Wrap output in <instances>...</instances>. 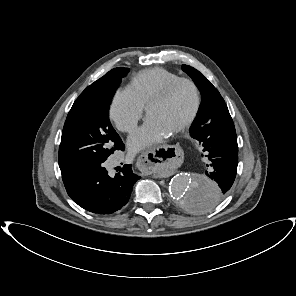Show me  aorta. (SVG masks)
<instances>
[{
	"label": "aorta",
	"mask_w": 296,
	"mask_h": 296,
	"mask_svg": "<svg viewBox=\"0 0 296 296\" xmlns=\"http://www.w3.org/2000/svg\"><path fill=\"white\" fill-rule=\"evenodd\" d=\"M217 187V184L206 176L179 173L172 178L169 193L183 212L199 215L214 206Z\"/></svg>",
	"instance_id": "aorta-1"
}]
</instances>
